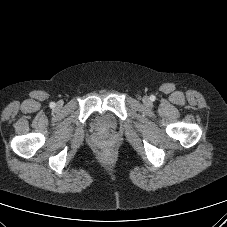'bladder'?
Wrapping results in <instances>:
<instances>
[{
	"label": "bladder",
	"instance_id": "31cf9c89",
	"mask_svg": "<svg viewBox=\"0 0 227 227\" xmlns=\"http://www.w3.org/2000/svg\"><path fill=\"white\" fill-rule=\"evenodd\" d=\"M91 125L97 130H109L116 125V120L108 111L96 112L91 117Z\"/></svg>",
	"mask_w": 227,
	"mask_h": 227
}]
</instances>
